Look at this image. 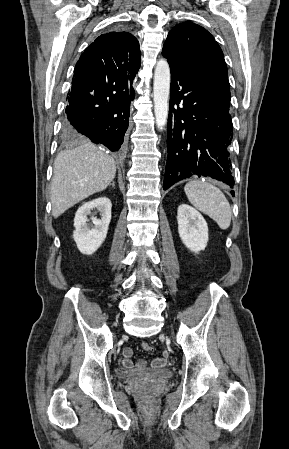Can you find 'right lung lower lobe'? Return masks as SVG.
<instances>
[{"label": "right lung lower lobe", "mask_w": 289, "mask_h": 449, "mask_svg": "<svg viewBox=\"0 0 289 449\" xmlns=\"http://www.w3.org/2000/svg\"><path fill=\"white\" fill-rule=\"evenodd\" d=\"M134 77L115 81L73 79L68 93L64 129L74 137H88L111 151H119L135 97Z\"/></svg>", "instance_id": "1"}]
</instances>
